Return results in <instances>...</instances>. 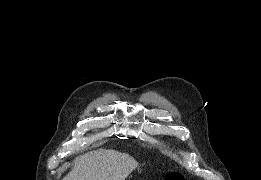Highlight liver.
Segmentation results:
<instances>
[{
	"instance_id": "liver-1",
	"label": "liver",
	"mask_w": 261,
	"mask_h": 180,
	"mask_svg": "<svg viewBox=\"0 0 261 180\" xmlns=\"http://www.w3.org/2000/svg\"><path fill=\"white\" fill-rule=\"evenodd\" d=\"M138 162L115 150H94L73 160L71 172L63 180H125Z\"/></svg>"
}]
</instances>
